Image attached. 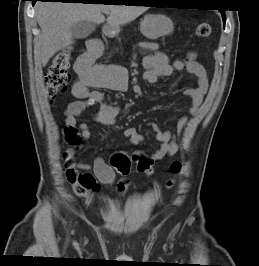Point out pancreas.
Segmentation results:
<instances>
[{"label":"pancreas","instance_id":"pancreas-1","mask_svg":"<svg viewBox=\"0 0 259 266\" xmlns=\"http://www.w3.org/2000/svg\"><path fill=\"white\" fill-rule=\"evenodd\" d=\"M141 45H142V46L151 47V45H150V44H148V43H142Z\"/></svg>","mask_w":259,"mask_h":266}]
</instances>
